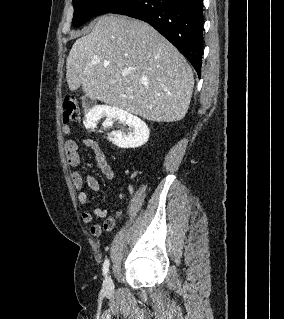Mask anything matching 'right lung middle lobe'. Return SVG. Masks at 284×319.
<instances>
[{"label":"right lung middle lobe","instance_id":"obj_1","mask_svg":"<svg viewBox=\"0 0 284 319\" xmlns=\"http://www.w3.org/2000/svg\"><path fill=\"white\" fill-rule=\"evenodd\" d=\"M129 0H73V25L78 27L92 17L111 12Z\"/></svg>","mask_w":284,"mask_h":319}]
</instances>
